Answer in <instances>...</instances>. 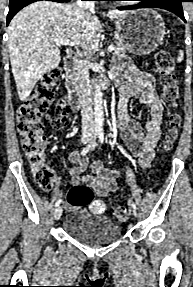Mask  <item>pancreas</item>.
<instances>
[{
  "label": "pancreas",
  "instance_id": "1",
  "mask_svg": "<svg viewBox=\"0 0 193 287\" xmlns=\"http://www.w3.org/2000/svg\"><path fill=\"white\" fill-rule=\"evenodd\" d=\"M114 48H115L114 55L116 57H122V56L125 55L127 48H126V45L123 42H121V41L115 42V47Z\"/></svg>",
  "mask_w": 193,
  "mask_h": 287
}]
</instances>
